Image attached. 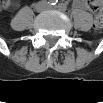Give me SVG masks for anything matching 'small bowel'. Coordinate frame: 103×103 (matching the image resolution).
<instances>
[{
  "label": "small bowel",
  "instance_id": "c3829d8e",
  "mask_svg": "<svg viewBox=\"0 0 103 103\" xmlns=\"http://www.w3.org/2000/svg\"><path fill=\"white\" fill-rule=\"evenodd\" d=\"M77 6L81 7V8H88L89 9V4L87 1H78L76 3ZM4 7H9L10 6V3L9 2H5L3 4Z\"/></svg>",
  "mask_w": 103,
  "mask_h": 103
}]
</instances>
